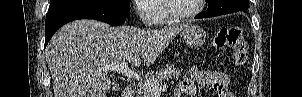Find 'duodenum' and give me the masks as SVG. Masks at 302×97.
Listing matches in <instances>:
<instances>
[{"mask_svg":"<svg viewBox=\"0 0 302 97\" xmlns=\"http://www.w3.org/2000/svg\"><path fill=\"white\" fill-rule=\"evenodd\" d=\"M134 96H135V90L132 86H127L121 94V97H134Z\"/></svg>","mask_w":302,"mask_h":97,"instance_id":"1","label":"duodenum"}]
</instances>
